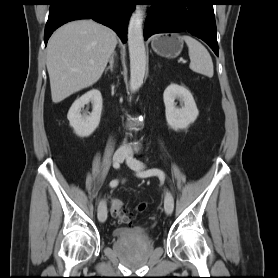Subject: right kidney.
<instances>
[{
  "label": "right kidney",
  "mask_w": 278,
  "mask_h": 278,
  "mask_svg": "<svg viewBox=\"0 0 278 278\" xmlns=\"http://www.w3.org/2000/svg\"><path fill=\"white\" fill-rule=\"evenodd\" d=\"M89 102L92 103V112L89 115L81 114V109ZM101 112V93L97 89H92L74 101L68 111L67 118L76 135L79 137H88L98 127Z\"/></svg>",
  "instance_id": "obj_1"
}]
</instances>
